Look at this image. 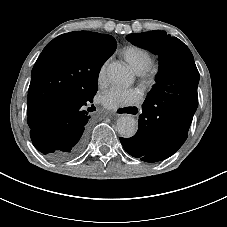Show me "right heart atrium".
I'll return each instance as SVG.
<instances>
[{"label": "right heart atrium", "mask_w": 227, "mask_h": 227, "mask_svg": "<svg viewBox=\"0 0 227 227\" xmlns=\"http://www.w3.org/2000/svg\"><path fill=\"white\" fill-rule=\"evenodd\" d=\"M107 64H108V61H104L98 69L97 83L99 86H103L107 82V72H106Z\"/></svg>", "instance_id": "d8ad5b80"}]
</instances>
